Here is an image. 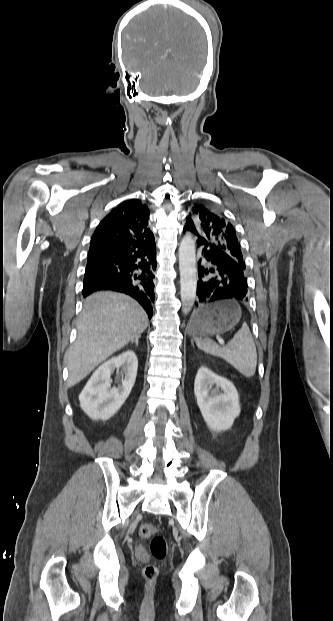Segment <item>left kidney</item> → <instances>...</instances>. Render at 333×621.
Returning a JSON list of instances; mask_svg holds the SVG:
<instances>
[{
	"mask_svg": "<svg viewBox=\"0 0 333 621\" xmlns=\"http://www.w3.org/2000/svg\"><path fill=\"white\" fill-rule=\"evenodd\" d=\"M194 394L204 421L213 431L228 430L240 415L235 386L205 366L199 368L195 377Z\"/></svg>",
	"mask_w": 333,
	"mask_h": 621,
	"instance_id": "5707ae66",
	"label": "left kidney"
}]
</instances>
